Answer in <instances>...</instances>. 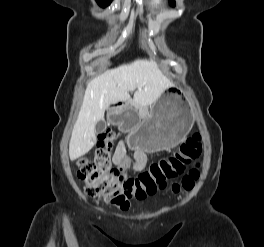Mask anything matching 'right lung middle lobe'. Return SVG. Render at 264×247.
Wrapping results in <instances>:
<instances>
[{
    "instance_id": "1",
    "label": "right lung middle lobe",
    "mask_w": 264,
    "mask_h": 247,
    "mask_svg": "<svg viewBox=\"0 0 264 247\" xmlns=\"http://www.w3.org/2000/svg\"><path fill=\"white\" fill-rule=\"evenodd\" d=\"M96 1L101 7H106L112 2V0H96Z\"/></svg>"
}]
</instances>
